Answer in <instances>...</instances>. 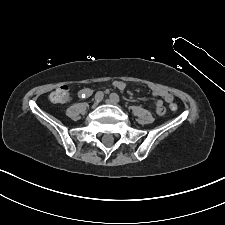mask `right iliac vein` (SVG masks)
Wrapping results in <instances>:
<instances>
[{"label": "right iliac vein", "mask_w": 225, "mask_h": 225, "mask_svg": "<svg viewBox=\"0 0 225 225\" xmlns=\"http://www.w3.org/2000/svg\"><path fill=\"white\" fill-rule=\"evenodd\" d=\"M99 102H100L99 100H96V101L93 103L92 107H93V108H96V107L98 106Z\"/></svg>", "instance_id": "1"}]
</instances>
